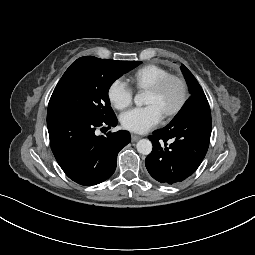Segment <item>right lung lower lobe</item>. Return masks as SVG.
<instances>
[{
  "instance_id": "98d812e1",
  "label": "right lung lower lobe",
  "mask_w": 255,
  "mask_h": 255,
  "mask_svg": "<svg viewBox=\"0 0 255 255\" xmlns=\"http://www.w3.org/2000/svg\"><path fill=\"white\" fill-rule=\"evenodd\" d=\"M117 118L101 120L73 111L47 113V127L53 154L65 172L80 185L107 180L115 171L117 155L131 137L127 131L97 136L100 126H116Z\"/></svg>"
}]
</instances>
